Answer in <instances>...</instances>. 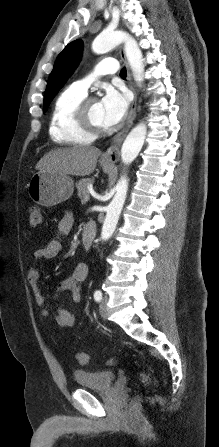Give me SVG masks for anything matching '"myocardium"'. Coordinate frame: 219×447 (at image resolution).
Returning a JSON list of instances; mask_svg holds the SVG:
<instances>
[{"label": "myocardium", "mask_w": 219, "mask_h": 447, "mask_svg": "<svg viewBox=\"0 0 219 447\" xmlns=\"http://www.w3.org/2000/svg\"><path fill=\"white\" fill-rule=\"evenodd\" d=\"M93 102L92 98H83L77 105L75 110V120L78 127L92 136L102 135L106 128L92 120L90 107Z\"/></svg>", "instance_id": "obj_1"}]
</instances>
